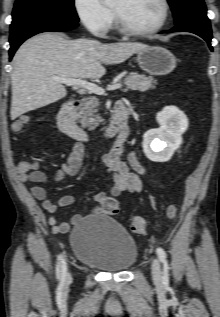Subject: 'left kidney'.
<instances>
[{
	"mask_svg": "<svg viewBox=\"0 0 220 317\" xmlns=\"http://www.w3.org/2000/svg\"><path fill=\"white\" fill-rule=\"evenodd\" d=\"M156 120L160 127L144 134L143 150L149 160L165 162L182 144V133L187 129L188 121L174 106L164 107L157 113Z\"/></svg>",
	"mask_w": 220,
	"mask_h": 317,
	"instance_id": "5707ae66",
	"label": "left kidney"
}]
</instances>
